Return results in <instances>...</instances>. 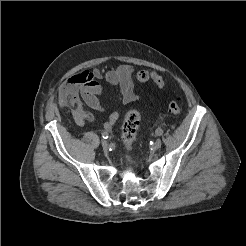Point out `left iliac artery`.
Listing matches in <instances>:
<instances>
[{
	"label": "left iliac artery",
	"instance_id": "44dca946",
	"mask_svg": "<svg viewBox=\"0 0 246 246\" xmlns=\"http://www.w3.org/2000/svg\"><path fill=\"white\" fill-rule=\"evenodd\" d=\"M156 135L160 136L163 134V129L162 128H157L155 131Z\"/></svg>",
	"mask_w": 246,
	"mask_h": 246
}]
</instances>
